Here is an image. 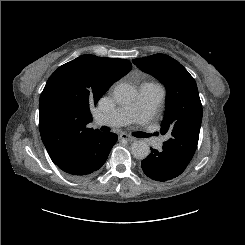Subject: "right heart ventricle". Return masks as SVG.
I'll return each instance as SVG.
<instances>
[{
	"mask_svg": "<svg viewBox=\"0 0 245 245\" xmlns=\"http://www.w3.org/2000/svg\"><path fill=\"white\" fill-rule=\"evenodd\" d=\"M145 83H149V84H154V85H159L158 83L154 82V81H148V82H145ZM160 86V85H159Z\"/></svg>",
	"mask_w": 245,
	"mask_h": 245,
	"instance_id": "e07e8e85",
	"label": "right heart ventricle"
}]
</instances>
